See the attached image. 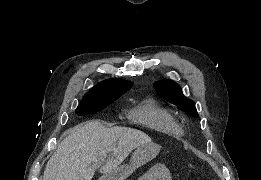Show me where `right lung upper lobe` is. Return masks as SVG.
I'll use <instances>...</instances> for the list:
<instances>
[{"label":"right lung upper lobe","instance_id":"right-lung-upper-lobe-1","mask_svg":"<svg viewBox=\"0 0 261 180\" xmlns=\"http://www.w3.org/2000/svg\"><path fill=\"white\" fill-rule=\"evenodd\" d=\"M132 84L122 79H108L100 82L84 97H116L124 94Z\"/></svg>","mask_w":261,"mask_h":180}]
</instances>
